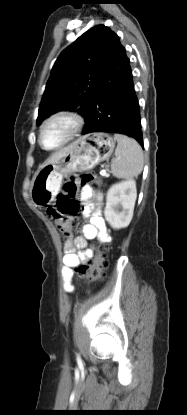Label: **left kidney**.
Returning <instances> with one entry per match:
<instances>
[{"label": "left kidney", "mask_w": 187, "mask_h": 415, "mask_svg": "<svg viewBox=\"0 0 187 415\" xmlns=\"http://www.w3.org/2000/svg\"><path fill=\"white\" fill-rule=\"evenodd\" d=\"M136 198L137 190L134 179L123 180L109 188L104 215L113 229L125 228L130 224Z\"/></svg>", "instance_id": "5707ae66"}]
</instances>
